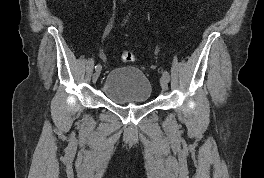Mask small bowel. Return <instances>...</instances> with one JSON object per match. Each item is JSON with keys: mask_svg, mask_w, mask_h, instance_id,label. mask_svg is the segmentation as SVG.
Returning <instances> with one entry per match:
<instances>
[{"mask_svg": "<svg viewBox=\"0 0 264 178\" xmlns=\"http://www.w3.org/2000/svg\"><path fill=\"white\" fill-rule=\"evenodd\" d=\"M100 57H101L102 59H104V58H105V55H104V53H103V52H100Z\"/></svg>", "mask_w": 264, "mask_h": 178, "instance_id": "c3829d8e", "label": "small bowel"}]
</instances>
